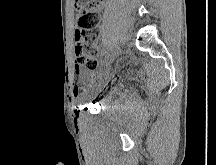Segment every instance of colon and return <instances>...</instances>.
<instances>
[{
  "mask_svg": "<svg viewBox=\"0 0 216 165\" xmlns=\"http://www.w3.org/2000/svg\"><path fill=\"white\" fill-rule=\"evenodd\" d=\"M104 0H75L78 13L77 28L74 33L76 65L89 71L100 67L96 42L99 37L98 9Z\"/></svg>",
  "mask_w": 216,
  "mask_h": 165,
  "instance_id": "colon-1",
  "label": "colon"
}]
</instances>
